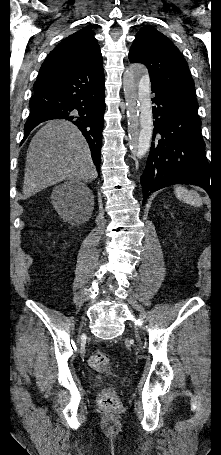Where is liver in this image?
I'll return each mask as SVG.
<instances>
[{"instance_id": "liver-1", "label": "liver", "mask_w": 221, "mask_h": 455, "mask_svg": "<svg viewBox=\"0 0 221 455\" xmlns=\"http://www.w3.org/2000/svg\"><path fill=\"white\" fill-rule=\"evenodd\" d=\"M90 149L79 129L65 120H52L32 138L24 172L23 197L64 180L97 178Z\"/></svg>"}]
</instances>
